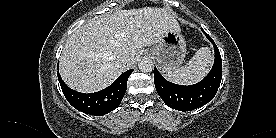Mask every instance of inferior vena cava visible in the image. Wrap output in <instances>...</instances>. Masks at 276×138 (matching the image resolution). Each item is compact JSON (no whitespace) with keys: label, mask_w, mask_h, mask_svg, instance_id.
<instances>
[{"label":"inferior vena cava","mask_w":276,"mask_h":138,"mask_svg":"<svg viewBox=\"0 0 276 138\" xmlns=\"http://www.w3.org/2000/svg\"><path fill=\"white\" fill-rule=\"evenodd\" d=\"M120 61H121V63L123 64V65H130L131 64V58H130V56H128V55H123V56H121L120 57Z\"/></svg>","instance_id":"1"}]
</instances>
